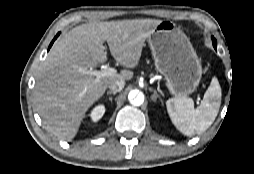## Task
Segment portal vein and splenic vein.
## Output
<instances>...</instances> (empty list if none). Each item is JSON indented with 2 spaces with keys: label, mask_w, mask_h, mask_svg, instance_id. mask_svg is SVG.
Here are the masks:
<instances>
[{
  "label": "portal vein and splenic vein",
  "mask_w": 254,
  "mask_h": 174,
  "mask_svg": "<svg viewBox=\"0 0 254 174\" xmlns=\"http://www.w3.org/2000/svg\"><path fill=\"white\" fill-rule=\"evenodd\" d=\"M116 69L114 68H111L109 66H104L102 70H89L87 73L92 75V76H95L96 77V80H99L103 77H108V76H114L116 74Z\"/></svg>",
  "instance_id": "18ae733b"
}]
</instances>
